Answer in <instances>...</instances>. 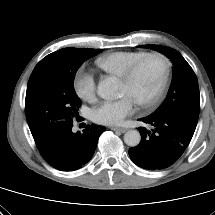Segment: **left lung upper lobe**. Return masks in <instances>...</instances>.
<instances>
[{
  "mask_svg": "<svg viewBox=\"0 0 215 215\" xmlns=\"http://www.w3.org/2000/svg\"><path fill=\"white\" fill-rule=\"evenodd\" d=\"M166 55L173 64V79L167 97L161 106L151 115H177L197 124L200 111V94L197 77L175 49L159 45H142Z\"/></svg>",
  "mask_w": 215,
  "mask_h": 215,
  "instance_id": "left-lung-upper-lobe-1",
  "label": "left lung upper lobe"
}]
</instances>
